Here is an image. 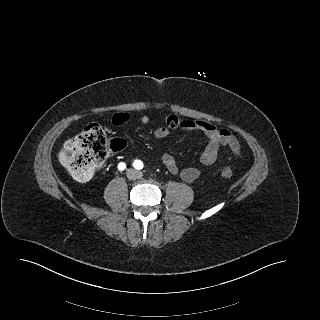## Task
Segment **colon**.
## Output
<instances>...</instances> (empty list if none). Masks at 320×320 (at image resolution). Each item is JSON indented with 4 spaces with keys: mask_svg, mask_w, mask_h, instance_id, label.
Returning a JSON list of instances; mask_svg holds the SVG:
<instances>
[{
    "mask_svg": "<svg viewBox=\"0 0 320 320\" xmlns=\"http://www.w3.org/2000/svg\"><path fill=\"white\" fill-rule=\"evenodd\" d=\"M124 146L125 141L111 139L104 126L91 123L79 135L65 143L59 153V160L73 178L87 181L103 163L110 150L122 149ZM221 176L230 179L233 171L224 167Z\"/></svg>",
    "mask_w": 320,
    "mask_h": 320,
    "instance_id": "5ec220e1",
    "label": "colon"
}]
</instances>
